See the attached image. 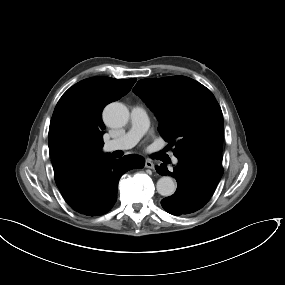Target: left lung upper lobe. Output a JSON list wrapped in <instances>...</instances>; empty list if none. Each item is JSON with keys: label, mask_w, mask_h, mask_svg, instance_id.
<instances>
[{"label": "left lung upper lobe", "mask_w": 285, "mask_h": 285, "mask_svg": "<svg viewBox=\"0 0 285 285\" xmlns=\"http://www.w3.org/2000/svg\"><path fill=\"white\" fill-rule=\"evenodd\" d=\"M133 92L155 113L160 135L175 157L222 162L223 115L209 89L186 76L142 79Z\"/></svg>", "instance_id": "obj_1"}]
</instances>
